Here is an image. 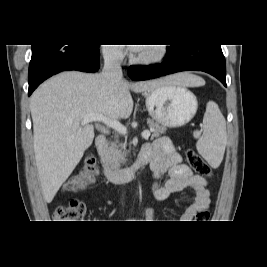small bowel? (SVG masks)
<instances>
[{
    "mask_svg": "<svg viewBox=\"0 0 267 267\" xmlns=\"http://www.w3.org/2000/svg\"><path fill=\"white\" fill-rule=\"evenodd\" d=\"M140 156L149 158L155 180L153 194L158 201H164L185 189L194 191V201L181 217L183 222H189L198 211L206 209L210 205V194L206 188V181L201 176L193 174L191 169L182 163L181 156L168 138L160 137L151 143H146ZM162 176H164V181L160 184L158 180ZM91 182L92 179L86 182L75 180L73 185L67 186V188L76 191ZM153 217L154 211L149 208L143 213L142 220L151 222Z\"/></svg>",
    "mask_w": 267,
    "mask_h": 267,
    "instance_id": "1",
    "label": "small bowel"
}]
</instances>
